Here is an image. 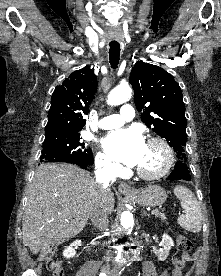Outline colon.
Returning <instances> with one entry per match:
<instances>
[{
    "label": "colon",
    "mask_w": 221,
    "mask_h": 276,
    "mask_svg": "<svg viewBox=\"0 0 221 276\" xmlns=\"http://www.w3.org/2000/svg\"><path fill=\"white\" fill-rule=\"evenodd\" d=\"M177 245L180 248V250H182L183 253H188L193 246L191 240L184 235H180L177 238ZM54 253H55L54 247H51V246L44 247L40 252V261L46 264V267L52 273V276H63L64 269H63L62 262L54 258ZM168 275H169L168 270L164 271L161 274V276H168Z\"/></svg>",
    "instance_id": "colon-1"
}]
</instances>
